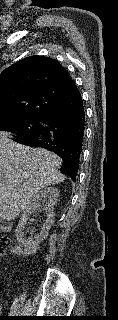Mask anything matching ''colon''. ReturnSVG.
<instances>
[{"instance_id": "5ec220e1", "label": "colon", "mask_w": 118, "mask_h": 320, "mask_svg": "<svg viewBox=\"0 0 118 320\" xmlns=\"http://www.w3.org/2000/svg\"><path fill=\"white\" fill-rule=\"evenodd\" d=\"M8 244L9 239L4 236H0V256H3L5 254Z\"/></svg>"}]
</instances>
